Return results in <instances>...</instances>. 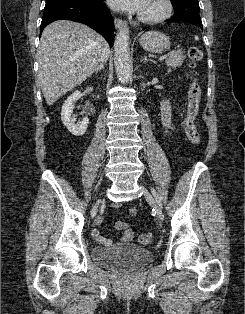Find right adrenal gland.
Instances as JSON below:
<instances>
[{
	"mask_svg": "<svg viewBox=\"0 0 245 314\" xmlns=\"http://www.w3.org/2000/svg\"><path fill=\"white\" fill-rule=\"evenodd\" d=\"M102 69H104L103 64L98 65L97 68L95 69V73H98V72L101 71Z\"/></svg>",
	"mask_w": 245,
	"mask_h": 314,
	"instance_id": "obj_1",
	"label": "right adrenal gland"
}]
</instances>
